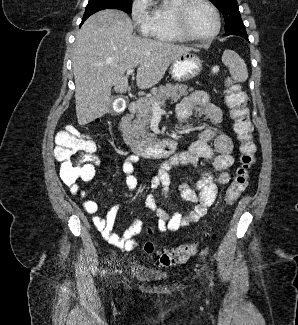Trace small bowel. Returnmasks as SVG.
Instances as JSON below:
<instances>
[{
	"label": "small bowel",
	"mask_w": 298,
	"mask_h": 325,
	"mask_svg": "<svg viewBox=\"0 0 298 325\" xmlns=\"http://www.w3.org/2000/svg\"><path fill=\"white\" fill-rule=\"evenodd\" d=\"M193 110L207 115L216 127L204 128L199 133L197 141L193 142L184 152L163 162L158 168L157 175L152 178L149 192L145 197V205L154 213L157 219V228L161 233L176 231L197 222L215 202L218 187L227 184L230 180L229 169L234 163L232 156L234 146L232 139L218 128L223 118L222 111L211 102L210 97L204 91H195L182 100L177 108L179 120L189 117ZM211 143H213V147ZM139 159V155L132 154L118 168L119 173L124 176V183L129 190L135 189L138 185L134 170ZM199 159L210 161L216 173L202 172L200 178L193 185L182 183L179 186L181 197L185 202L190 203L191 207L186 213L180 209L170 212L169 209L174 208L168 196L171 183L170 170L179 165L197 167ZM70 191L74 195L85 197V193L78 184L70 186ZM157 192L161 193L162 204L157 202ZM82 206L86 213L93 216L92 222L95 228L108 243L125 251H131L137 246L133 237L142 229L140 219L135 218L130 227L122 235H118L113 232V228L119 204L113 205L106 217L96 215L98 205L93 200H85Z\"/></svg>",
	"instance_id": "obj_1"
}]
</instances>
